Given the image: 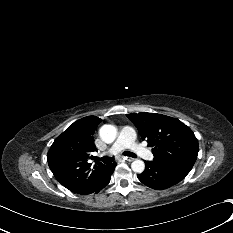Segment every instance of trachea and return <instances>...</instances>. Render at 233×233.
<instances>
[{"label": "trachea", "instance_id": "trachea-1", "mask_svg": "<svg viewBox=\"0 0 233 233\" xmlns=\"http://www.w3.org/2000/svg\"><path fill=\"white\" fill-rule=\"evenodd\" d=\"M123 155L136 158V155L133 152H129V151H125L123 153ZM96 160L97 161H102L105 164H110V163H112L114 161V158L113 157H108V156L103 157V158L96 157Z\"/></svg>", "mask_w": 233, "mask_h": 233}]
</instances>
